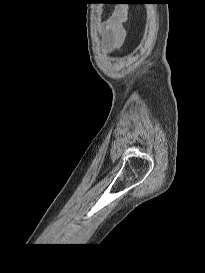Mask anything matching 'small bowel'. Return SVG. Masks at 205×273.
Listing matches in <instances>:
<instances>
[{
    "instance_id": "c3829d8e",
    "label": "small bowel",
    "mask_w": 205,
    "mask_h": 273,
    "mask_svg": "<svg viewBox=\"0 0 205 273\" xmlns=\"http://www.w3.org/2000/svg\"><path fill=\"white\" fill-rule=\"evenodd\" d=\"M126 20L127 15L125 13L115 11L104 24L103 40L107 51L119 48L124 42L126 36L124 23Z\"/></svg>"
}]
</instances>
